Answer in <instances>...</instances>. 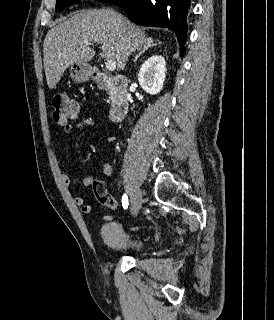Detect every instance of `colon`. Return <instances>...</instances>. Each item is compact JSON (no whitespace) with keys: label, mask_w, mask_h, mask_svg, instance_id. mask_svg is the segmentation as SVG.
<instances>
[{"label":"colon","mask_w":274,"mask_h":320,"mask_svg":"<svg viewBox=\"0 0 274 320\" xmlns=\"http://www.w3.org/2000/svg\"><path fill=\"white\" fill-rule=\"evenodd\" d=\"M52 119L58 125L71 127L79 117L78 105L71 101L66 92H57L52 97ZM92 188L95 193H100V201L103 206L116 210L117 202L108 194L105 182H93Z\"/></svg>","instance_id":"1"}]
</instances>
